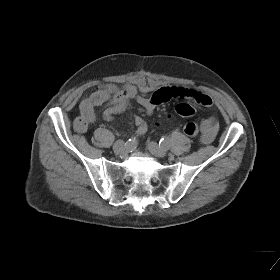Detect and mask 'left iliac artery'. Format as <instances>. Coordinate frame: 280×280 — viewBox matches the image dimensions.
I'll list each match as a JSON object with an SVG mask.
<instances>
[{
  "instance_id": "obj_1",
  "label": "left iliac artery",
  "mask_w": 280,
  "mask_h": 280,
  "mask_svg": "<svg viewBox=\"0 0 280 280\" xmlns=\"http://www.w3.org/2000/svg\"><path fill=\"white\" fill-rule=\"evenodd\" d=\"M160 143H161L163 146L168 147V146H170V144H171V138H170L169 136H166V137H164V138H162V139L160 140Z\"/></svg>"
}]
</instances>
